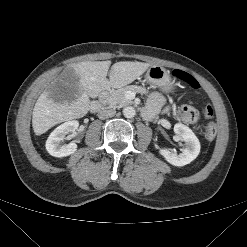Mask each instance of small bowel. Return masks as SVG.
<instances>
[{
  "instance_id": "c3829d8e",
  "label": "small bowel",
  "mask_w": 247,
  "mask_h": 247,
  "mask_svg": "<svg viewBox=\"0 0 247 247\" xmlns=\"http://www.w3.org/2000/svg\"><path fill=\"white\" fill-rule=\"evenodd\" d=\"M162 106V98L158 94H154L150 97L148 105L145 109V114L147 117H151L156 113Z\"/></svg>"
}]
</instances>
